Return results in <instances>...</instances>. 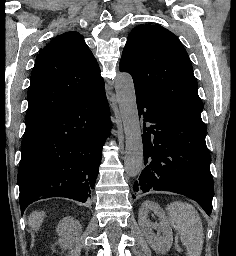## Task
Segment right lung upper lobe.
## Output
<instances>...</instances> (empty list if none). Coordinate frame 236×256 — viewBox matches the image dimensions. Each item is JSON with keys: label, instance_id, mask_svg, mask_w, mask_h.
<instances>
[{"label": "right lung upper lobe", "instance_id": "obj_1", "mask_svg": "<svg viewBox=\"0 0 236 256\" xmlns=\"http://www.w3.org/2000/svg\"><path fill=\"white\" fill-rule=\"evenodd\" d=\"M103 87L100 68L83 37L77 32L58 35L36 57L26 123L37 124Z\"/></svg>", "mask_w": 236, "mask_h": 256}]
</instances>
